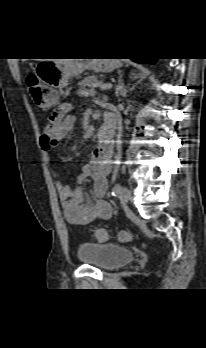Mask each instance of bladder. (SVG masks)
I'll return each instance as SVG.
<instances>
[{
  "mask_svg": "<svg viewBox=\"0 0 206 348\" xmlns=\"http://www.w3.org/2000/svg\"><path fill=\"white\" fill-rule=\"evenodd\" d=\"M77 255L83 264L104 270L121 267L135 257L134 252L127 246L113 243H81Z\"/></svg>",
  "mask_w": 206,
  "mask_h": 348,
  "instance_id": "1",
  "label": "bladder"
}]
</instances>
